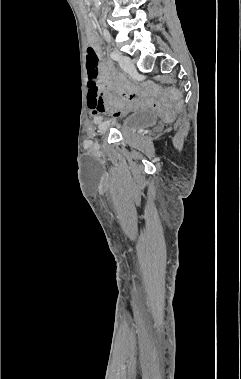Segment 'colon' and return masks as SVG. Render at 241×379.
Returning <instances> with one entry per match:
<instances>
[{
	"instance_id": "5ec220e1",
	"label": "colon",
	"mask_w": 241,
	"mask_h": 379,
	"mask_svg": "<svg viewBox=\"0 0 241 379\" xmlns=\"http://www.w3.org/2000/svg\"><path fill=\"white\" fill-rule=\"evenodd\" d=\"M86 68L87 83H97L99 76V58L93 47H88L86 51ZM176 97L175 92L169 93L168 97H157L156 94H150L149 90H142L139 98H123L121 92H115L113 87H109L104 93L101 101L106 103H121L126 105L128 109H148L153 107L158 109L165 118H171L174 109L171 104L176 105L175 108L181 107V102Z\"/></svg>"
}]
</instances>
